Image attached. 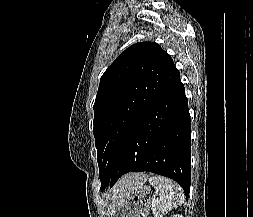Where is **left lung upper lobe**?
Masks as SVG:
<instances>
[{"label":"left lung upper lobe","mask_w":253,"mask_h":217,"mask_svg":"<svg viewBox=\"0 0 253 217\" xmlns=\"http://www.w3.org/2000/svg\"><path fill=\"white\" fill-rule=\"evenodd\" d=\"M179 77L172 58L154 42L130 46L104 72L94 103L93 128L101 190L130 126Z\"/></svg>","instance_id":"obj_1"}]
</instances>
